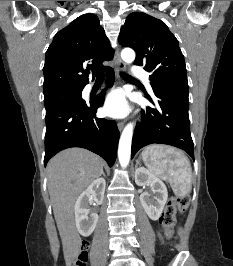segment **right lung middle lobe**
<instances>
[{
    "mask_svg": "<svg viewBox=\"0 0 233 266\" xmlns=\"http://www.w3.org/2000/svg\"><path fill=\"white\" fill-rule=\"evenodd\" d=\"M82 88L81 89H63V90H57L52 91L49 93L44 94V104L46 108V112H49L53 109H55L58 106L81 101L82 96Z\"/></svg>",
    "mask_w": 233,
    "mask_h": 266,
    "instance_id": "obj_1",
    "label": "right lung middle lobe"
}]
</instances>
